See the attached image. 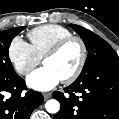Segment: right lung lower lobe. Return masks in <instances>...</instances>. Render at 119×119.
Wrapping results in <instances>:
<instances>
[{"instance_id":"98d812e1","label":"right lung lower lobe","mask_w":119,"mask_h":119,"mask_svg":"<svg viewBox=\"0 0 119 119\" xmlns=\"http://www.w3.org/2000/svg\"><path fill=\"white\" fill-rule=\"evenodd\" d=\"M27 90L24 80L17 74L0 76V119H29L32 111L44 100L40 92ZM9 93L10 97L5 95Z\"/></svg>"}]
</instances>
